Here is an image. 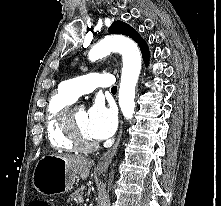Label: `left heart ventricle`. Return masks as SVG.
Returning a JSON list of instances; mask_svg holds the SVG:
<instances>
[{
    "label": "left heart ventricle",
    "mask_w": 221,
    "mask_h": 206,
    "mask_svg": "<svg viewBox=\"0 0 221 206\" xmlns=\"http://www.w3.org/2000/svg\"><path fill=\"white\" fill-rule=\"evenodd\" d=\"M73 116L82 135L88 140H93L87 130V113L83 109L76 108Z\"/></svg>",
    "instance_id": "left-heart-ventricle-1"
}]
</instances>
